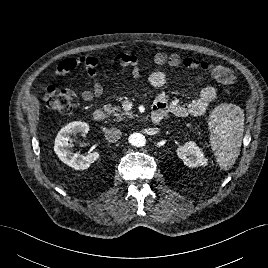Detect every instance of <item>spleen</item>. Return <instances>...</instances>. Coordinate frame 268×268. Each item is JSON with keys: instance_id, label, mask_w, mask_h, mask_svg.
I'll use <instances>...</instances> for the list:
<instances>
[{"instance_id": "spleen-1", "label": "spleen", "mask_w": 268, "mask_h": 268, "mask_svg": "<svg viewBox=\"0 0 268 268\" xmlns=\"http://www.w3.org/2000/svg\"><path fill=\"white\" fill-rule=\"evenodd\" d=\"M210 145L219 167L230 169L238 158L244 132V112L234 104H220L209 117Z\"/></svg>"}]
</instances>
